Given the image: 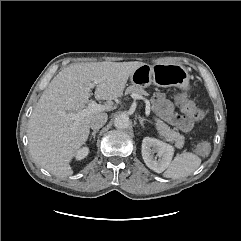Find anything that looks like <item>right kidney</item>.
<instances>
[{
  "label": "right kidney",
  "instance_id": "right-kidney-1",
  "mask_svg": "<svg viewBox=\"0 0 241 241\" xmlns=\"http://www.w3.org/2000/svg\"><path fill=\"white\" fill-rule=\"evenodd\" d=\"M89 153L88 147H83L78 152L76 153V159L77 160H82L84 159Z\"/></svg>",
  "mask_w": 241,
  "mask_h": 241
}]
</instances>
